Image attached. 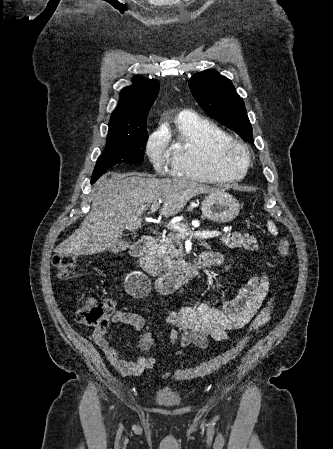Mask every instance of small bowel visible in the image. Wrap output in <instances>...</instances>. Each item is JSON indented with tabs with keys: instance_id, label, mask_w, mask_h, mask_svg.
I'll return each mask as SVG.
<instances>
[{
	"instance_id": "1",
	"label": "small bowel",
	"mask_w": 333,
	"mask_h": 449,
	"mask_svg": "<svg viewBox=\"0 0 333 449\" xmlns=\"http://www.w3.org/2000/svg\"><path fill=\"white\" fill-rule=\"evenodd\" d=\"M212 263L220 264V254H211ZM95 301L88 298L86 302ZM273 304L271 286L265 275H252L239 289L236 297L217 306L202 304L197 307L185 305L178 311L168 314L167 323L169 343H180L181 353L190 346L205 349L209 339L224 342L229 340L232 331L246 328L249 335L262 328L269 320ZM115 323L128 325L136 331L144 327V319L137 313L115 311L112 316ZM91 340L103 351L108 361L123 376H137L145 369L156 365L153 356H138L135 360H125L112 345V334L106 329L95 328ZM154 339L150 333H144L139 346L149 351Z\"/></svg>"
}]
</instances>
